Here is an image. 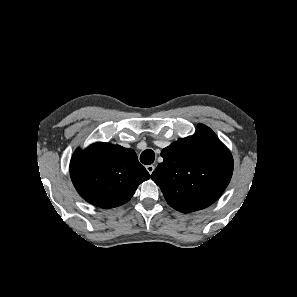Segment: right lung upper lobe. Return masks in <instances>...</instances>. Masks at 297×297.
I'll return each mask as SVG.
<instances>
[{"label":"right lung upper lobe","mask_w":297,"mask_h":297,"mask_svg":"<svg viewBox=\"0 0 297 297\" xmlns=\"http://www.w3.org/2000/svg\"><path fill=\"white\" fill-rule=\"evenodd\" d=\"M70 176L83 199L105 209L129 201L139 184L150 178L134 150L109 143L77 149Z\"/></svg>","instance_id":"1"}]
</instances>
